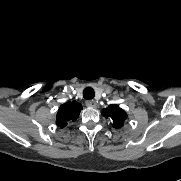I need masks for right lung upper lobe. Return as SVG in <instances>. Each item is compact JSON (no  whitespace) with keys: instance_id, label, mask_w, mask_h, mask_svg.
I'll use <instances>...</instances> for the list:
<instances>
[{"instance_id":"1","label":"right lung upper lobe","mask_w":181,"mask_h":181,"mask_svg":"<svg viewBox=\"0 0 181 181\" xmlns=\"http://www.w3.org/2000/svg\"><path fill=\"white\" fill-rule=\"evenodd\" d=\"M82 110V105L76 101L66 102L59 107L56 116V125L60 128L67 126L69 121H75Z\"/></svg>"}]
</instances>
